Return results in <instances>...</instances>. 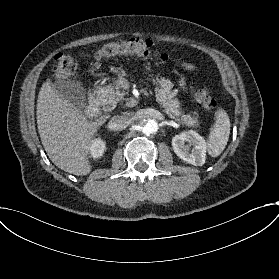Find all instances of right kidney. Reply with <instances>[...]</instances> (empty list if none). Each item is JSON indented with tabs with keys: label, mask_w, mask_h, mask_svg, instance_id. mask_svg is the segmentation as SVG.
I'll list each match as a JSON object with an SVG mask.
<instances>
[{
	"label": "right kidney",
	"mask_w": 279,
	"mask_h": 279,
	"mask_svg": "<svg viewBox=\"0 0 279 279\" xmlns=\"http://www.w3.org/2000/svg\"><path fill=\"white\" fill-rule=\"evenodd\" d=\"M105 150L106 143L100 138L93 139L88 146L89 154L93 159L102 157Z\"/></svg>",
	"instance_id": "1"
}]
</instances>
